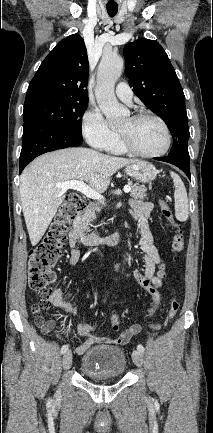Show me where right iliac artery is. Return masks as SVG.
I'll return each mask as SVG.
<instances>
[{
  "label": "right iliac artery",
  "mask_w": 213,
  "mask_h": 433,
  "mask_svg": "<svg viewBox=\"0 0 213 433\" xmlns=\"http://www.w3.org/2000/svg\"><path fill=\"white\" fill-rule=\"evenodd\" d=\"M68 348H69V346L67 344L63 345L62 348H61V354H64L65 352H67Z\"/></svg>",
  "instance_id": "82829eb1"
}]
</instances>
